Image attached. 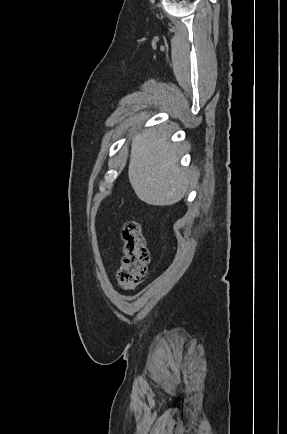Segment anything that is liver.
<instances>
[{
  "label": "liver",
  "instance_id": "obj_1",
  "mask_svg": "<svg viewBox=\"0 0 287 434\" xmlns=\"http://www.w3.org/2000/svg\"><path fill=\"white\" fill-rule=\"evenodd\" d=\"M129 180L137 197L154 206L179 202L190 176L179 167L178 148L162 128H150L132 138Z\"/></svg>",
  "mask_w": 287,
  "mask_h": 434
}]
</instances>
